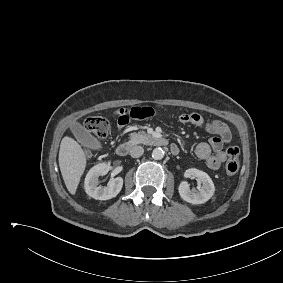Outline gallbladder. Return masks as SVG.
<instances>
[{
	"label": "gallbladder",
	"mask_w": 283,
	"mask_h": 283,
	"mask_svg": "<svg viewBox=\"0 0 283 283\" xmlns=\"http://www.w3.org/2000/svg\"><path fill=\"white\" fill-rule=\"evenodd\" d=\"M70 129L75 138L83 146L93 150L101 149V143L93 135H91L80 123L72 124Z\"/></svg>",
	"instance_id": "gallbladder-1"
}]
</instances>
